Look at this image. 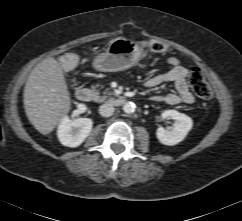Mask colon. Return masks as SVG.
I'll list each match as a JSON object with an SVG mask.
<instances>
[{
  "label": "colon",
  "instance_id": "colon-1",
  "mask_svg": "<svg viewBox=\"0 0 242 221\" xmlns=\"http://www.w3.org/2000/svg\"><path fill=\"white\" fill-rule=\"evenodd\" d=\"M142 47L145 50L155 53H165L168 51V46L159 41H151L143 43ZM77 56L73 53H66L60 59V64L63 69H72L77 63ZM189 84L196 96L204 101H209L212 96V89L205 80L202 72L198 68H192L188 76Z\"/></svg>",
  "mask_w": 242,
  "mask_h": 221
}]
</instances>
